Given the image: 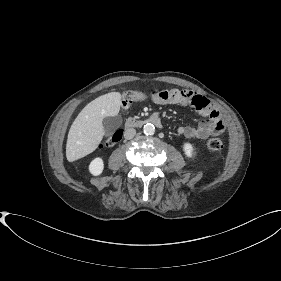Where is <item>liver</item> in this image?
<instances>
[{
    "label": "liver",
    "instance_id": "liver-1",
    "mask_svg": "<svg viewBox=\"0 0 281 281\" xmlns=\"http://www.w3.org/2000/svg\"><path fill=\"white\" fill-rule=\"evenodd\" d=\"M121 94L110 92L88 103L72 123L66 144V157L73 162L92 153L104 136L103 119L120 111Z\"/></svg>",
    "mask_w": 281,
    "mask_h": 281
}]
</instances>
